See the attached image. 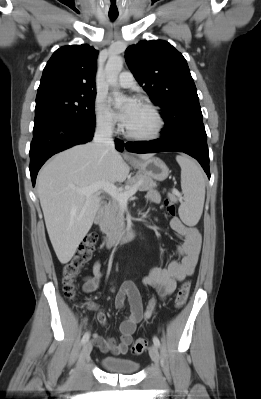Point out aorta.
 <instances>
[{
  "label": "aorta",
  "instance_id": "aorta-1",
  "mask_svg": "<svg viewBox=\"0 0 261 399\" xmlns=\"http://www.w3.org/2000/svg\"><path fill=\"white\" fill-rule=\"evenodd\" d=\"M123 68V58L121 56H110L106 66H105V74L106 80L109 85L112 87H116L118 84V76ZM115 101L117 105H121L122 102L125 100V96L114 90L113 92Z\"/></svg>",
  "mask_w": 261,
  "mask_h": 399
}]
</instances>
